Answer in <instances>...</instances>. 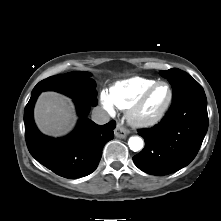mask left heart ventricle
<instances>
[{"instance_id": "1", "label": "left heart ventricle", "mask_w": 221, "mask_h": 221, "mask_svg": "<svg viewBox=\"0 0 221 221\" xmlns=\"http://www.w3.org/2000/svg\"><path fill=\"white\" fill-rule=\"evenodd\" d=\"M169 91L165 85L158 86L145 103L142 113L145 116L157 114L168 99Z\"/></svg>"}]
</instances>
